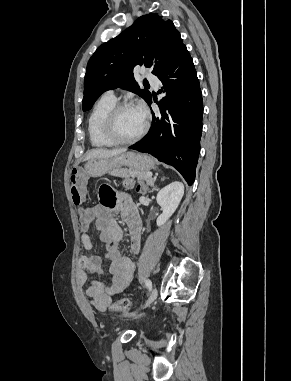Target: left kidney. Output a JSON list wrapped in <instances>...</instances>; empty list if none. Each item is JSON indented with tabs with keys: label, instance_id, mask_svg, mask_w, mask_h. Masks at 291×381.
<instances>
[{
	"label": "left kidney",
	"instance_id": "5707ae66",
	"mask_svg": "<svg viewBox=\"0 0 291 381\" xmlns=\"http://www.w3.org/2000/svg\"><path fill=\"white\" fill-rule=\"evenodd\" d=\"M184 195V185L174 181L162 188L157 194V203L162 208V214L157 218V226H162L177 209Z\"/></svg>",
	"mask_w": 291,
	"mask_h": 381
}]
</instances>
